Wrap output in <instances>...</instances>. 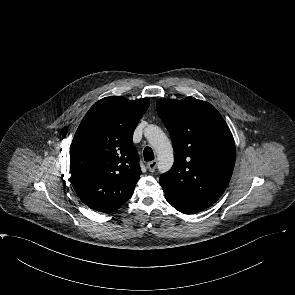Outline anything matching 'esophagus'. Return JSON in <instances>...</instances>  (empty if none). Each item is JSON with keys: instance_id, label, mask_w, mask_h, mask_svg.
I'll use <instances>...</instances> for the list:
<instances>
[{"instance_id": "1", "label": "esophagus", "mask_w": 295, "mask_h": 295, "mask_svg": "<svg viewBox=\"0 0 295 295\" xmlns=\"http://www.w3.org/2000/svg\"><path fill=\"white\" fill-rule=\"evenodd\" d=\"M156 167H157L156 160H153V161L147 163V168L150 172H154L156 170Z\"/></svg>"}]
</instances>
